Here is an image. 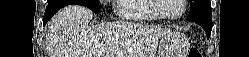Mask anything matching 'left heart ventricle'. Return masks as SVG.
Wrapping results in <instances>:
<instances>
[{
	"mask_svg": "<svg viewBox=\"0 0 249 57\" xmlns=\"http://www.w3.org/2000/svg\"><path fill=\"white\" fill-rule=\"evenodd\" d=\"M182 9L180 0H162L161 11L166 15L178 14Z\"/></svg>",
	"mask_w": 249,
	"mask_h": 57,
	"instance_id": "b2bd125f",
	"label": "left heart ventricle"
}]
</instances>
